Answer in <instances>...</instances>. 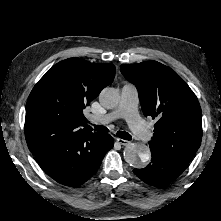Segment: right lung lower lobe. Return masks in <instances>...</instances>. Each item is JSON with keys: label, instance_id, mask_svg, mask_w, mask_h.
I'll list each match as a JSON object with an SVG mask.
<instances>
[{"label": "right lung lower lobe", "instance_id": "98d812e1", "mask_svg": "<svg viewBox=\"0 0 221 221\" xmlns=\"http://www.w3.org/2000/svg\"><path fill=\"white\" fill-rule=\"evenodd\" d=\"M108 134L86 132L35 154L42 169L58 183L78 187L91 178L113 147Z\"/></svg>", "mask_w": 221, "mask_h": 221}]
</instances>
